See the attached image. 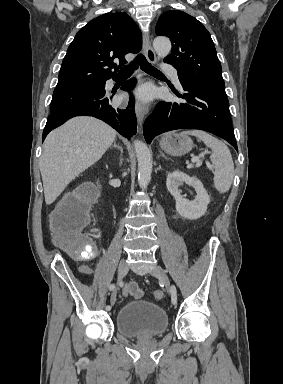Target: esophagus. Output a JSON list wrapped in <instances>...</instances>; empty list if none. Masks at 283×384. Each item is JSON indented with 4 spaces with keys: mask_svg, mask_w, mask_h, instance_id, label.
I'll return each mask as SVG.
<instances>
[{
    "mask_svg": "<svg viewBox=\"0 0 283 384\" xmlns=\"http://www.w3.org/2000/svg\"><path fill=\"white\" fill-rule=\"evenodd\" d=\"M143 51L149 62L151 63L157 62L155 52L151 46L150 37L148 33H145L143 36ZM135 112H136L139 124L142 125L145 115L148 113L147 106L143 102L138 100L135 104Z\"/></svg>",
    "mask_w": 283,
    "mask_h": 384,
    "instance_id": "1",
    "label": "esophagus"
}]
</instances>
